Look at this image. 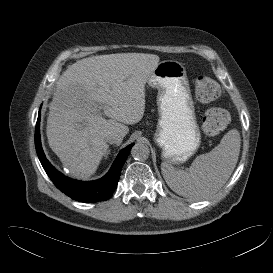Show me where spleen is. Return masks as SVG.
I'll use <instances>...</instances> for the list:
<instances>
[{
  "label": "spleen",
  "mask_w": 273,
  "mask_h": 273,
  "mask_svg": "<svg viewBox=\"0 0 273 273\" xmlns=\"http://www.w3.org/2000/svg\"><path fill=\"white\" fill-rule=\"evenodd\" d=\"M241 139L236 129L228 131L219 145L193 161L189 171L163 162L161 170L167 185L178 195L199 200L215 194L231 176L240 153Z\"/></svg>",
  "instance_id": "obj_1"
}]
</instances>
